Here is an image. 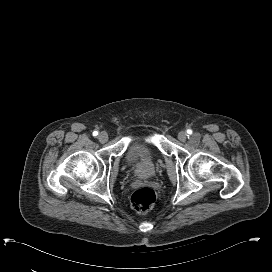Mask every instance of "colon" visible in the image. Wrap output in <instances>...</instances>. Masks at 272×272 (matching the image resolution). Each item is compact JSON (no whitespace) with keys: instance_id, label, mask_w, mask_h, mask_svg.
I'll return each instance as SVG.
<instances>
[{"instance_id":"colon-1","label":"colon","mask_w":272,"mask_h":272,"mask_svg":"<svg viewBox=\"0 0 272 272\" xmlns=\"http://www.w3.org/2000/svg\"><path fill=\"white\" fill-rule=\"evenodd\" d=\"M156 193L148 187L139 188L131 196V204L139 214L147 213L155 204Z\"/></svg>"}]
</instances>
